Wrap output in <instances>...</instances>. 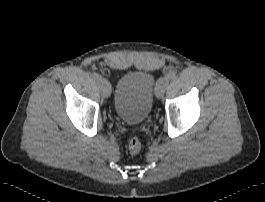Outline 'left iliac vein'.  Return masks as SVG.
<instances>
[{
    "label": "left iliac vein",
    "instance_id": "obj_1",
    "mask_svg": "<svg viewBox=\"0 0 265 202\" xmlns=\"http://www.w3.org/2000/svg\"><path fill=\"white\" fill-rule=\"evenodd\" d=\"M169 85V79L167 77L160 78L157 82L155 89V95L157 98H161Z\"/></svg>",
    "mask_w": 265,
    "mask_h": 202
}]
</instances>
